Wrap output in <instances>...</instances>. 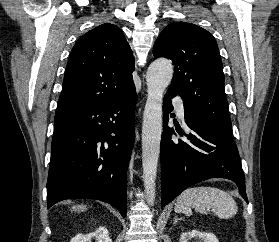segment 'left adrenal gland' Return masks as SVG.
Returning a JSON list of instances; mask_svg holds the SVG:
<instances>
[{"mask_svg":"<svg viewBox=\"0 0 279 242\" xmlns=\"http://www.w3.org/2000/svg\"><path fill=\"white\" fill-rule=\"evenodd\" d=\"M178 220H181V219L178 218L177 216H175V217H174V222H173V223L176 224V222H177Z\"/></svg>","mask_w":279,"mask_h":242,"instance_id":"obj_1","label":"left adrenal gland"}]
</instances>
